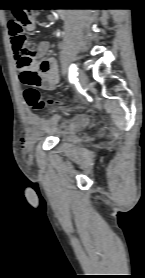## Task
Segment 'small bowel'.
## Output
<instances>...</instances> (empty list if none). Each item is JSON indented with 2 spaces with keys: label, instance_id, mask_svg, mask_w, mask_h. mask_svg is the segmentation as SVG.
Returning <instances> with one entry per match:
<instances>
[{
  "label": "small bowel",
  "instance_id": "1",
  "mask_svg": "<svg viewBox=\"0 0 145 278\" xmlns=\"http://www.w3.org/2000/svg\"><path fill=\"white\" fill-rule=\"evenodd\" d=\"M35 29L34 19H31V24L28 26L29 31ZM12 51L14 55V60L16 68L19 72V75L23 81V75L29 72L32 69L41 70V87L43 90H54L59 82V68L57 61L54 58H49L45 61L41 60L43 55L49 50L50 43L47 41L41 42L35 47V54L40 62H37L32 55L26 53V48L17 47L14 45L12 38ZM33 51V50H32ZM28 120L31 124L35 125L38 123L39 119L33 114H28Z\"/></svg>",
  "mask_w": 145,
  "mask_h": 278
}]
</instances>
